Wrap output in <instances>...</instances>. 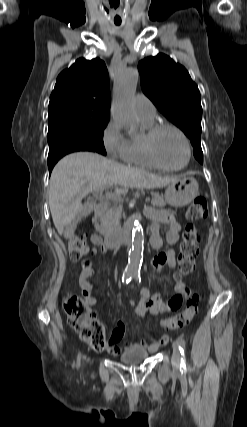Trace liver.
<instances>
[{
	"mask_svg": "<svg viewBox=\"0 0 247 427\" xmlns=\"http://www.w3.org/2000/svg\"><path fill=\"white\" fill-rule=\"evenodd\" d=\"M177 177H161L139 168L119 164L97 153L77 152L62 158L54 167L49 184V206L60 235L82 210V199L107 186L118 192L129 188L154 189L169 185Z\"/></svg>",
	"mask_w": 247,
	"mask_h": 427,
	"instance_id": "6515ba94",
	"label": "liver"
}]
</instances>
